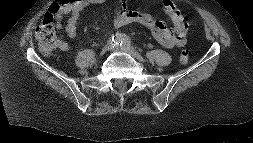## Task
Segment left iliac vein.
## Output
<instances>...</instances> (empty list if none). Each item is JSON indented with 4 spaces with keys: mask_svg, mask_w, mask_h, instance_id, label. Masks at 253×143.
Instances as JSON below:
<instances>
[{
    "mask_svg": "<svg viewBox=\"0 0 253 143\" xmlns=\"http://www.w3.org/2000/svg\"><path fill=\"white\" fill-rule=\"evenodd\" d=\"M114 51H123L126 53H129L132 57H134L135 59L143 62V58L142 56L139 54L138 51H136L134 48L132 47H115L113 48Z\"/></svg>",
    "mask_w": 253,
    "mask_h": 143,
    "instance_id": "left-iliac-vein-1",
    "label": "left iliac vein"
}]
</instances>
